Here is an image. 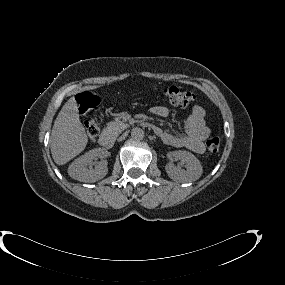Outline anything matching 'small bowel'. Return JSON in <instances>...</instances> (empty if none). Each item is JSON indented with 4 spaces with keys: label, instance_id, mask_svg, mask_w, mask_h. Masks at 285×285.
I'll list each match as a JSON object with an SVG mask.
<instances>
[{
    "label": "small bowel",
    "instance_id": "small-bowel-1",
    "mask_svg": "<svg viewBox=\"0 0 285 285\" xmlns=\"http://www.w3.org/2000/svg\"><path fill=\"white\" fill-rule=\"evenodd\" d=\"M150 112L159 117H167L169 114V110L164 106H154L150 109ZM204 118V108L195 105L184 121L185 135H174L155 126L154 131L168 145L184 147L195 153H203L205 150L204 141L211 134Z\"/></svg>",
    "mask_w": 285,
    "mask_h": 285
}]
</instances>
